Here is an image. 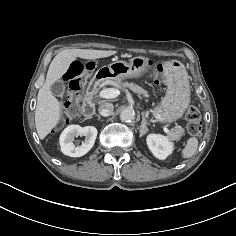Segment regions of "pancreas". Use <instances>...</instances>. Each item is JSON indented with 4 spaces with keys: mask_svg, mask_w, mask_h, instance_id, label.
<instances>
[{
    "mask_svg": "<svg viewBox=\"0 0 236 236\" xmlns=\"http://www.w3.org/2000/svg\"><path fill=\"white\" fill-rule=\"evenodd\" d=\"M117 87L119 89H124V88H129L135 93L138 94H143L144 96H147V91L144 90L142 87L138 86L137 84L134 83H128V82H120L117 84ZM184 134V129L181 126H177L174 130L170 132V136L179 139L182 135Z\"/></svg>",
    "mask_w": 236,
    "mask_h": 236,
    "instance_id": "obj_1",
    "label": "pancreas"
}]
</instances>
